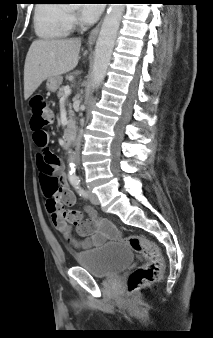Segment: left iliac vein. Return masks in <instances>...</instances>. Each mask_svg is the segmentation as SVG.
<instances>
[{
    "instance_id": "4c4485c4",
    "label": "left iliac vein",
    "mask_w": 213,
    "mask_h": 338,
    "mask_svg": "<svg viewBox=\"0 0 213 338\" xmlns=\"http://www.w3.org/2000/svg\"><path fill=\"white\" fill-rule=\"evenodd\" d=\"M89 200L91 201L92 204L98 205L99 204V199L96 194H94L91 191H87Z\"/></svg>"
}]
</instances>
